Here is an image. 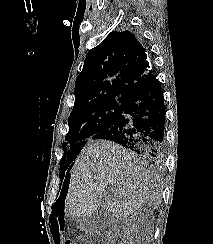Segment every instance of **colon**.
<instances>
[{
    "label": "colon",
    "instance_id": "colon-1",
    "mask_svg": "<svg viewBox=\"0 0 213 244\" xmlns=\"http://www.w3.org/2000/svg\"><path fill=\"white\" fill-rule=\"evenodd\" d=\"M64 244H76L73 240L67 239Z\"/></svg>",
    "mask_w": 213,
    "mask_h": 244
}]
</instances>
